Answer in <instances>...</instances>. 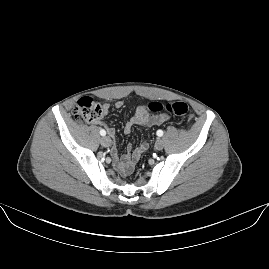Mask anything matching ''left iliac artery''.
I'll list each match as a JSON object with an SVG mask.
<instances>
[{
  "label": "left iliac artery",
  "instance_id": "left-iliac-artery-1",
  "mask_svg": "<svg viewBox=\"0 0 269 269\" xmlns=\"http://www.w3.org/2000/svg\"><path fill=\"white\" fill-rule=\"evenodd\" d=\"M157 135H158L159 137L163 136V131H162V130H158V131H157Z\"/></svg>",
  "mask_w": 269,
  "mask_h": 269
}]
</instances>
